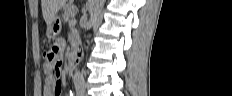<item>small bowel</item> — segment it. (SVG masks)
<instances>
[{
    "label": "small bowel",
    "mask_w": 232,
    "mask_h": 96,
    "mask_svg": "<svg viewBox=\"0 0 232 96\" xmlns=\"http://www.w3.org/2000/svg\"><path fill=\"white\" fill-rule=\"evenodd\" d=\"M69 35H79V30H69L68 31ZM72 43H82V38H76L73 37L72 38ZM65 45L64 40L59 39L56 42V46H58L60 48V50L63 49ZM46 68H48V66L46 65ZM61 86V81L56 80L54 77L52 76H47L45 81H44V85H43V96H62V93L58 92V88H60ZM53 88L56 89V93H53Z\"/></svg>",
    "instance_id": "obj_1"
}]
</instances>
